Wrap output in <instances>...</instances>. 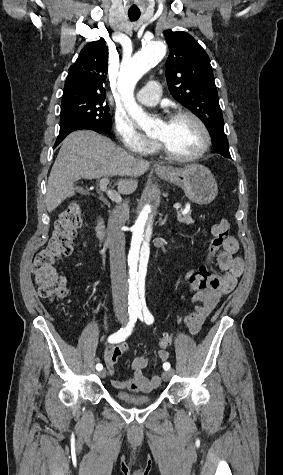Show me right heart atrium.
<instances>
[{
	"label": "right heart atrium",
	"mask_w": 283,
	"mask_h": 475,
	"mask_svg": "<svg viewBox=\"0 0 283 475\" xmlns=\"http://www.w3.org/2000/svg\"><path fill=\"white\" fill-rule=\"evenodd\" d=\"M112 130L118 138V150L125 155L149 156L153 150V141L140 133L133 125L131 119L117 113L112 122Z\"/></svg>",
	"instance_id": "d8ad5b80"
}]
</instances>
